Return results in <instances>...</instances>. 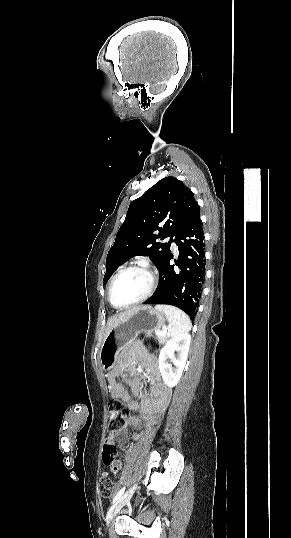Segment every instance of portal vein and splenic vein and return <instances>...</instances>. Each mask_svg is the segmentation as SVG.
I'll use <instances>...</instances> for the list:
<instances>
[{
	"instance_id": "1",
	"label": "portal vein and splenic vein",
	"mask_w": 291,
	"mask_h": 538,
	"mask_svg": "<svg viewBox=\"0 0 291 538\" xmlns=\"http://www.w3.org/2000/svg\"><path fill=\"white\" fill-rule=\"evenodd\" d=\"M157 334H159V335H164L165 333L159 331V332H157Z\"/></svg>"
}]
</instances>
